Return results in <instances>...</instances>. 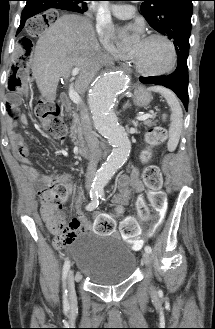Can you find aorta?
Masks as SVG:
<instances>
[{
  "mask_svg": "<svg viewBox=\"0 0 215 329\" xmlns=\"http://www.w3.org/2000/svg\"><path fill=\"white\" fill-rule=\"evenodd\" d=\"M121 39L123 42L128 41L124 34H121ZM127 85L128 80L124 73L107 71L93 83L89 91L88 104L94 127L113 147L106 162L95 175V187L105 186L130 154L131 142L114 112L117 97Z\"/></svg>",
  "mask_w": 215,
  "mask_h": 329,
  "instance_id": "obj_1",
  "label": "aorta"
}]
</instances>
